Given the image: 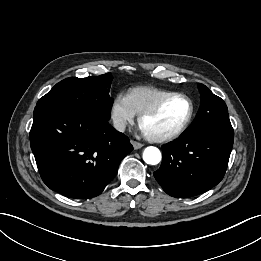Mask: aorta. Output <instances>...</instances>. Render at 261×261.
Segmentation results:
<instances>
[{"label": "aorta", "instance_id": "obj_1", "mask_svg": "<svg viewBox=\"0 0 261 261\" xmlns=\"http://www.w3.org/2000/svg\"><path fill=\"white\" fill-rule=\"evenodd\" d=\"M143 160L150 165H157L161 161V152L158 148L149 146L143 152Z\"/></svg>", "mask_w": 261, "mask_h": 261}]
</instances>
